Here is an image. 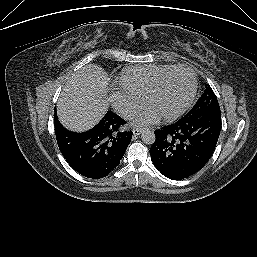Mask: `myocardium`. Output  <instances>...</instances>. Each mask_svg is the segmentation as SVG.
Masks as SVG:
<instances>
[{
	"mask_svg": "<svg viewBox=\"0 0 257 257\" xmlns=\"http://www.w3.org/2000/svg\"><path fill=\"white\" fill-rule=\"evenodd\" d=\"M178 70H186L191 74L192 77V84H191V88L189 91V94L187 96V98L185 99V101L174 111L168 113V114H164V115H160L162 119L164 120H172L176 117H178L179 115H181L184 111H186L188 109V107L191 105L196 91H197V86H198V81H197V75L196 72L194 71V69H192L191 67L187 66V65H175L172 66L171 68H169L168 70H166L164 73H162L155 81L154 83L151 85L150 89L148 90L146 96H145V105L148 106L149 102L151 100V98L153 97V95L158 91V89L160 88V86L162 85L163 81L173 72L178 71Z\"/></svg>",
	"mask_w": 257,
	"mask_h": 257,
	"instance_id": "myocardium-1",
	"label": "myocardium"
}]
</instances>
